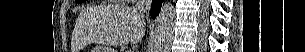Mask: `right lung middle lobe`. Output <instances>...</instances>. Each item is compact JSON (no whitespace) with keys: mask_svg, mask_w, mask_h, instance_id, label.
<instances>
[{"mask_svg":"<svg viewBox=\"0 0 305 52\" xmlns=\"http://www.w3.org/2000/svg\"><path fill=\"white\" fill-rule=\"evenodd\" d=\"M84 1H86V0H77L76 2H84Z\"/></svg>","mask_w":305,"mask_h":52,"instance_id":"1","label":"right lung middle lobe"}]
</instances>
